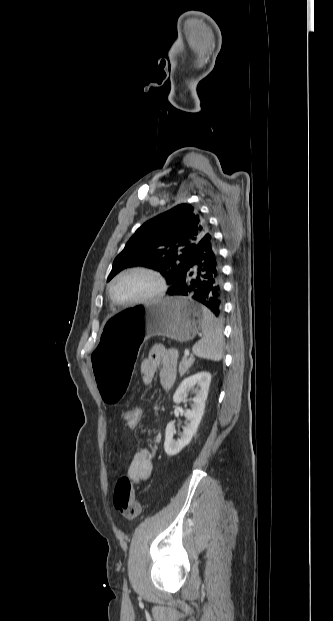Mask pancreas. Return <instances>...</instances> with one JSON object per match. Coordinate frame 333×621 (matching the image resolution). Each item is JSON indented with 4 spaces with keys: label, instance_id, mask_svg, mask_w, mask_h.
<instances>
[{
    "label": "pancreas",
    "instance_id": "1",
    "mask_svg": "<svg viewBox=\"0 0 333 621\" xmlns=\"http://www.w3.org/2000/svg\"><path fill=\"white\" fill-rule=\"evenodd\" d=\"M195 359L194 357H190V358H182L180 364H179V373L181 376H183L184 374H186L188 372V369L192 366V364L194 363Z\"/></svg>",
    "mask_w": 333,
    "mask_h": 621
}]
</instances>
